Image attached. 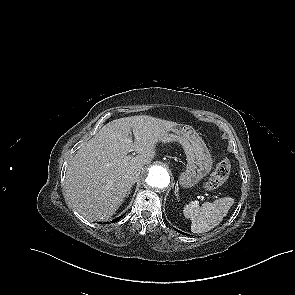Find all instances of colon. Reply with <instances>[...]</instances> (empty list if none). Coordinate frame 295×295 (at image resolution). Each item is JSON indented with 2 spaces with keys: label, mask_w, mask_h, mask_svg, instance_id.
I'll return each mask as SVG.
<instances>
[{
  "label": "colon",
  "mask_w": 295,
  "mask_h": 295,
  "mask_svg": "<svg viewBox=\"0 0 295 295\" xmlns=\"http://www.w3.org/2000/svg\"><path fill=\"white\" fill-rule=\"evenodd\" d=\"M231 171L230 162L227 159L221 160L205 183L207 190H215L219 188L228 179Z\"/></svg>",
  "instance_id": "colon-1"
}]
</instances>
